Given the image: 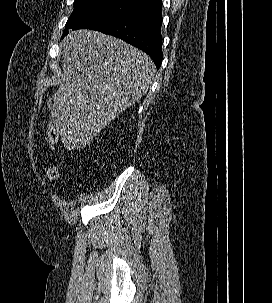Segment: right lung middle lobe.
<instances>
[{
	"label": "right lung middle lobe",
	"instance_id": "1",
	"mask_svg": "<svg viewBox=\"0 0 272 303\" xmlns=\"http://www.w3.org/2000/svg\"><path fill=\"white\" fill-rule=\"evenodd\" d=\"M137 10L139 7L135 3L125 0H75L74 10L66 23L63 37L69 30L89 29L96 24Z\"/></svg>",
	"mask_w": 272,
	"mask_h": 303
}]
</instances>
